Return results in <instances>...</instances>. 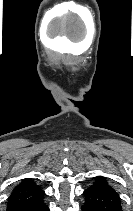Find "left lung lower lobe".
<instances>
[{"mask_svg": "<svg viewBox=\"0 0 133 211\" xmlns=\"http://www.w3.org/2000/svg\"><path fill=\"white\" fill-rule=\"evenodd\" d=\"M83 195L85 202L82 211H122L121 200L116 192L90 186Z\"/></svg>", "mask_w": 133, "mask_h": 211, "instance_id": "1", "label": "left lung lower lobe"}]
</instances>
